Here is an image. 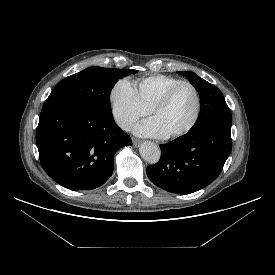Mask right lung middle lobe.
<instances>
[{"instance_id": "1", "label": "right lung middle lobe", "mask_w": 275, "mask_h": 275, "mask_svg": "<svg viewBox=\"0 0 275 275\" xmlns=\"http://www.w3.org/2000/svg\"><path fill=\"white\" fill-rule=\"evenodd\" d=\"M132 69L89 67L66 77L51 92L44 106L82 103L112 115L110 93L118 79L136 73Z\"/></svg>"}]
</instances>
